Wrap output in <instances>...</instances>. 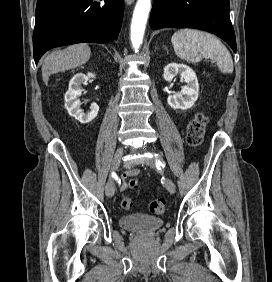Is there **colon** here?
<instances>
[{
	"label": "colon",
	"instance_id": "5ec220e1",
	"mask_svg": "<svg viewBox=\"0 0 272 282\" xmlns=\"http://www.w3.org/2000/svg\"><path fill=\"white\" fill-rule=\"evenodd\" d=\"M207 125L208 118L202 113L197 114L195 118L189 123L187 128L186 141L190 147L196 148L202 143ZM129 186L133 189H137L139 187L138 180L130 179ZM120 204L122 209L129 210L133 206V201L130 197L124 196L121 198ZM149 209L153 215H161L165 212L166 202L164 199H155L150 202Z\"/></svg>",
	"mask_w": 272,
	"mask_h": 282
}]
</instances>
